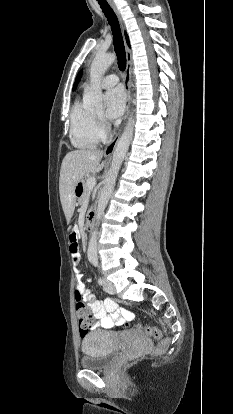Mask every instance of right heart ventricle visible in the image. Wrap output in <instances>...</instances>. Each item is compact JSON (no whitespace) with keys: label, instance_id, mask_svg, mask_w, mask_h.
<instances>
[{"label":"right heart ventricle","instance_id":"obj_1","mask_svg":"<svg viewBox=\"0 0 233 414\" xmlns=\"http://www.w3.org/2000/svg\"><path fill=\"white\" fill-rule=\"evenodd\" d=\"M103 139L96 116L80 100H76L70 112V140L74 147L91 149Z\"/></svg>","mask_w":233,"mask_h":414}]
</instances>
